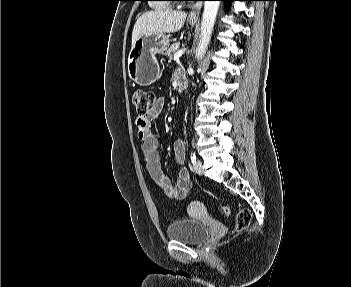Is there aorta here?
Here are the masks:
<instances>
[{
	"mask_svg": "<svg viewBox=\"0 0 351 287\" xmlns=\"http://www.w3.org/2000/svg\"><path fill=\"white\" fill-rule=\"evenodd\" d=\"M220 1H205L201 20L200 40L196 49L197 60L203 58L208 48L211 34L214 28Z\"/></svg>",
	"mask_w": 351,
	"mask_h": 287,
	"instance_id": "1",
	"label": "aorta"
}]
</instances>
